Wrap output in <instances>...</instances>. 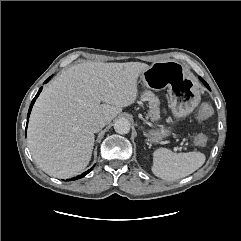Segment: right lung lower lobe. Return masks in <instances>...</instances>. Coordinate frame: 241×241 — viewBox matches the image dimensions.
<instances>
[{
    "label": "right lung lower lobe",
    "instance_id": "right-lung-lower-lobe-1",
    "mask_svg": "<svg viewBox=\"0 0 241 241\" xmlns=\"http://www.w3.org/2000/svg\"><path fill=\"white\" fill-rule=\"evenodd\" d=\"M50 78H51V77H49V78L45 81V83H46ZM41 90H42V87L39 89L38 93L36 94V96H35L34 99L32 100V103H31L30 108H29L28 116H27V123H28V118H29L31 109H32V107H33V104H34L36 98L39 96ZM26 128H27V127H26ZM91 170H92V169H89L88 171H86V172L83 173L82 175L77 176L76 178H74V180L80 179V178L84 177V176H85L86 174H88Z\"/></svg>",
    "mask_w": 241,
    "mask_h": 241
}]
</instances>
